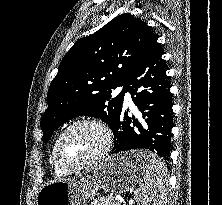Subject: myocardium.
I'll use <instances>...</instances> for the list:
<instances>
[{
  "label": "myocardium",
  "mask_w": 222,
  "mask_h": 205,
  "mask_svg": "<svg viewBox=\"0 0 222 205\" xmlns=\"http://www.w3.org/2000/svg\"><path fill=\"white\" fill-rule=\"evenodd\" d=\"M80 125H89V126L96 127L103 134L104 142H103L101 149L96 154H94L92 157L88 158L87 160H85L81 163H77L74 165H67L61 160V158L59 156V146H60V143H61L62 139L64 138V136L69 131H71L72 129H74L75 127L80 126ZM111 146H112V134H111L110 129L107 127V125L105 123H103L100 120L93 119V118H82V119L75 120L74 122L69 124L59 134V136L57 137V139L54 143V146H53L52 157H53L54 162L57 164V166L60 167L62 170L66 171V172H73V171L87 168V167L101 161L108 154Z\"/></svg>",
  "instance_id": "myocardium-1"
}]
</instances>
